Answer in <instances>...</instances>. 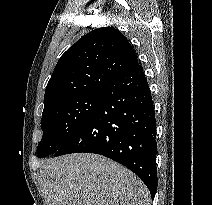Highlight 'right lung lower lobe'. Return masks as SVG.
Masks as SVG:
<instances>
[{"label": "right lung lower lobe", "instance_id": "98d812e1", "mask_svg": "<svg viewBox=\"0 0 212 205\" xmlns=\"http://www.w3.org/2000/svg\"><path fill=\"white\" fill-rule=\"evenodd\" d=\"M156 147L154 105L138 63L101 91L94 111L54 156L87 152L108 157L137 174L154 199Z\"/></svg>", "mask_w": 212, "mask_h": 205}]
</instances>
